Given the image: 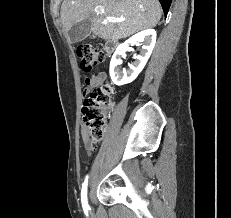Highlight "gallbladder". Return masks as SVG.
I'll use <instances>...</instances> for the list:
<instances>
[{
    "mask_svg": "<svg viewBox=\"0 0 231 218\" xmlns=\"http://www.w3.org/2000/svg\"><path fill=\"white\" fill-rule=\"evenodd\" d=\"M91 19L85 18L82 21L75 23L69 30H68V38L71 43H77L82 41L87 37L91 30Z\"/></svg>",
    "mask_w": 231,
    "mask_h": 218,
    "instance_id": "obj_1",
    "label": "gallbladder"
}]
</instances>
